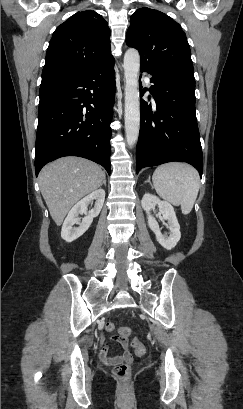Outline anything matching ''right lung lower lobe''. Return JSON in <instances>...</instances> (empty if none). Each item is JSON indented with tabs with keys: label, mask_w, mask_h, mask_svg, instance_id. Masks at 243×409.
Instances as JSON below:
<instances>
[{
	"label": "right lung lower lobe",
	"mask_w": 243,
	"mask_h": 409,
	"mask_svg": "<svg viewBox=\"0 0 243 409\" xmlns=\"http://www.w3.org/2000/svg\"><path fill=\"white\" fill-rule=\"evenodd\" d=\"M114 60L90 71L40 87L35 172L63 156H80L102 165L108 174Z\"/></svg>",
	"instance_id": "obj_1"
}]
</instances>
